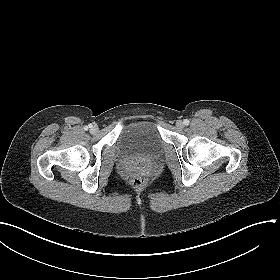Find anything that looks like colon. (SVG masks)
Segmentation results:
<instances>
[{
    "mask_svg": "<svg viewBox=\"0 0 280 280\" xmlns=\"http://www.w3.org/2000/svg\"><path fill=\"white\" fill-rule=\"evenodd\" d=\"M131 183L135 189H142L146 185V177L141 171L136 170L132 173Z\"/></svg>",
    "mask_w": 280,
    "mask_h": 280,
    "instance_id": "obj_1",
    "label": "colon"
}]
</instances>
